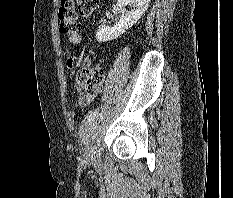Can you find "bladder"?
<instances>
[{
  "instance_id": "bladder-1",
  "label": "bladder",
  "mask_w": 233,
  "mask_h": 198,
  "mask_svg": "<svg viewBox=\"0 0 233 198\" xmlns=\"http://www.w3.org/2000/svg\"><path fill=\"white\" fill-rule=\"evenodd\" d=\"M95 125H91V127L89 129H87L86 127V124H84L81 128V137H82V140H84L85 142H89V140L91 139L92 137V132L94 130V127Z\"/></svg>"
}]
</instances>
